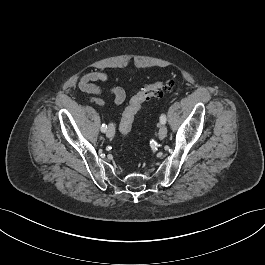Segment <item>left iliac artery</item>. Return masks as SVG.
Here are the masks:
<instances>
[{"label": "left iliac artery", "instance_id": "44dca946", "mask_svg": "<svg viewBox=\"0 0 265 265\" xmlns=\"http://www.w3.org/2000/svg\"><path fill=\"white\" fill-rule=\"evenodd\" d=\"M160 122H161V124H165L166 123V115L165 114H162L160 116Z\"/></svg>", "mask_w": 265, "mask_h": 265}]
</instances>
